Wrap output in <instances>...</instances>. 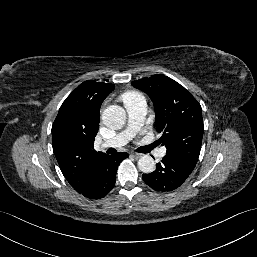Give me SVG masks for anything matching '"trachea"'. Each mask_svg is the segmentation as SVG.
<instances>
[{
    "instance_id": "obj_1",
    "label": "trachea",
    "mask_w": 257,
    "mask_h": 257,
    "mask_svg": "<svg viewBox=\"0 0 257 257\" xmlns=\"http://www.w3.org/2000/svg\"><path fill=\"white\" fill-rule=\"evenodd\" d=\"M146 150H138V152H141V153H147L149 152L151 149L150 148H145Z\"/></svg>"
}]
</instances>
